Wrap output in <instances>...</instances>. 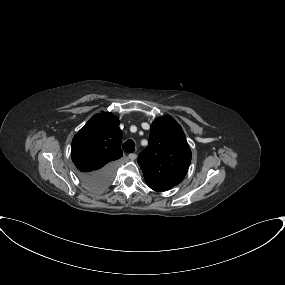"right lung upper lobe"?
<instances>
[{
	"label": "right lung upper lobe",
	"mask_w": 285,
	"mask_h": 285,
	"mask_svg": "<svg viewBox=\"0 0 285 285\" xmlns=\"http://www.w3.org/2000/svg\"><path fill=\"white\" fill-rule=\"evenodd\" d=\"M119 119L109 112L94 115L72 140V160L82 173H91L123 155Z\"/></svg>",
	"instance_id": "obj_1"
}]
</instances>
